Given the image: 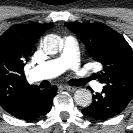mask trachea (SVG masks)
<instances>
[{
    "mask_svg": "<svg viewBox=\"0 0 133 133\" xmlns=\"http://www.w3.org/2000/svg\"><path fill=\"white\" fill-rule=\"evenodd\" d=\"M69 84L71 86H83L85 84V82L83 80H79V79H72L69 81Z\"/></svg>",
    "mask_w": 133,
    "mask_h": 133,
    "instance_id": "trachea-1",
    "label": "trachea"
}]
</instances>
